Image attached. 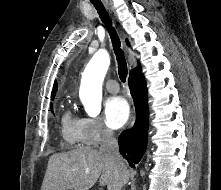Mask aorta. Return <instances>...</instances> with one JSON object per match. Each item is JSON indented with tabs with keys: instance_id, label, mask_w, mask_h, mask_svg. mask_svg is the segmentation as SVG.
I'll use <instances>...</instances> for the list:
<instances>
[{
	"instance_id": "1",
	"label": "aorta",
	"mask_w": 221,
	"mask_h": 190,
	"mask_svg": "<svg viewBox=\"0 0 221 190\" xmlns=\"http://www.w3.org/2000/svg\"><path fill=\"white\" fill-rule=\"evenodd\" d=\"M110 65L109 54L100 50L86 66L80 85L79 96L86 113L96 117L101 111L102 84Z\"/></svg>"
}]
</instances>
